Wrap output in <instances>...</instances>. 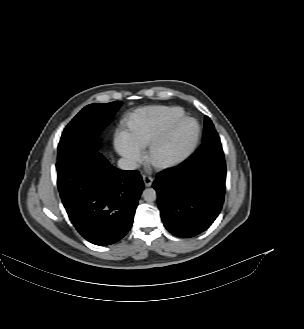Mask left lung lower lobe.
Instances as JSON below:
<instances>
[{"mask_svg": "<svg viewBox=\"0 0 304 329\" xmlns=\"http://www.w3.org/2000/svg\"><path fill=\"white\" fill-rule=\"evenodd\" d=\"M173 170L158 173L153 183L161 218L172 234L193 237L210 227L224 201L226 165L217 132Z\"/></svg>", "mask_w": 304, "mask_h": 329, "instance_id": "1", "label": "left lung lower lobe"}]
</instances>
